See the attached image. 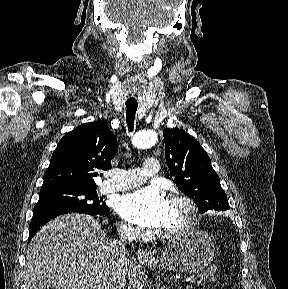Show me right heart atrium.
I'll list each match as a JSON object with an SVG mask.
<instances>
[{
	"mask_svg": "<svg viewBox=\"0 0 288 289\" xmlns=\"http://www.w3.org/2000/svg\"><path fill=\"white\" fill-rule=\"evenodd\" d=\"M120 228H121V231L129 237H133L137 234V230L128 225L122 224Z\"/></svg>",
	"mask_w": 288,
	"mask_h": 289,
	"instance_id": "d8ad5b80",
	"label": "right heart atrium"
}]
</instances>
